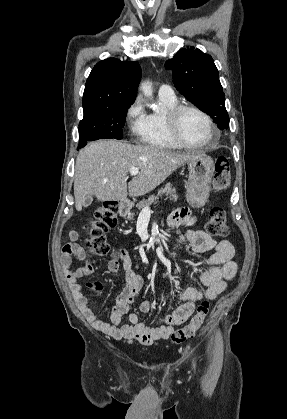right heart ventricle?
Returning a JSON list of instances; mask_svg holds the SVG:
<instances>
[{
  "mask_svg": "<svg viewBox=\"0 0 287 419\" xmlns=\"http://www.w3.org/2000/svg\"><path fill=\"white\" fill-rule=\"evenodd\" d=\"M159 99L167 109L178 104L176 98L159 96ZM140 140L142 143L155 148L178 149L182 147L168 133L165 123V113H150L147 115L146 127Z\"/></svg>",
  "mask_w": 287,
  "mask_h": 419,
  "instance_id": "obj_1",
  "label": "right heart ventricle"
}]
</instances>
